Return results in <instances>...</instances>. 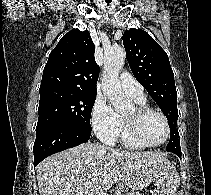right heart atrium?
Masks as SVG:
<instances>
[{"label": "right heart atrium", "instance_id": "d8ad5b80", "mask_svg": "<svg viewBox=\"0 0 211 195\" xmlns=\"http://www.w3.org/2000/svg\"><path fill=\"white\" fill-rule=\"evenodd\" d=\"M121 116L103 97H97L92 113L91 125L95 134L105 143L114 144L121 129Z\"/></svg>", "mask_w": 211, "mask_h": 195}]
</instances>
